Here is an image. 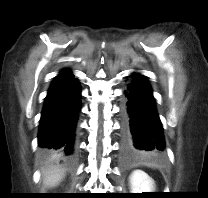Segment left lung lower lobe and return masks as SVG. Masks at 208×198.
<instances>
[{
  "instance_id": "left-lung-lower-lobe-1",
  "label": "left lung lower lobe",
  "mask_w": 208,
  "mask_h": 198,
  "mask_svg": "<svg viewBox=\"0 0 208 198\" xmlns=\"http://www.w3.org/2000/svg\"><path fill=\"white\" fill-rule=\"evenodd\" d=\"M121 108V152L126 158L160 155L165 148L152 89L146 77L133 73Z\"/></svg>"
}]
</instances>
